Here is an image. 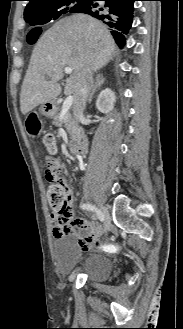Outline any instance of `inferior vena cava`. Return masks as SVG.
Returning <instances> with one entry per match:
<instances>
[{
	"mask_svg": "<svg viewBox=\"0 0 183 329\" xmlns=\"http://www.w3.org/2000/svg\"><path fill=\"white\" fill-rule=\"evenodd\" d=\"M93 87H94L93 71L89 66H87L83 71L80 85L77 92L75 93V98H74L73 114L77 122L83 119V113L85 110L86 101Z\"/></svg>",
	"mask_w": 183,
	"mask_h": 329,
	"instance_id": "obj_1",
	"label": "inferior vena cava"
}]
</instances>
